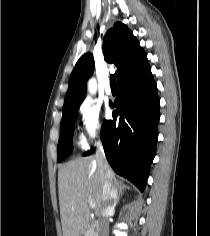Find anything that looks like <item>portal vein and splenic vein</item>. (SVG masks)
<instances>
[{
    "instance_id": "1",
    "label": "portal vein and splenic vein",
    "mask_w": 210,
    "mask_h": 236,
    "mask_svg": "<svg viewBox=\"0 0 210 236\" xmlns=\"http://www.w3.org/2000/svg\"><path fill=\"white\" fill-rule=\"evenodd\" d=\"M90 206H91V207H94L95 205L93 204V202H90Z\"/></svg>"
}]
</instances>
